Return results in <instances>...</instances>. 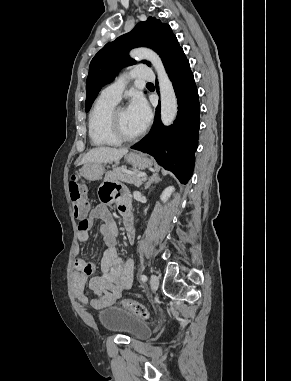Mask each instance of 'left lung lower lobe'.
<instances>
[{"instance_id": "obj_1", "label": "left lung lower lobe", "mask_w": 291, "mask_h": 381, "mask_svg": "<svg viewBox=\"0 0 291 381\" xmlns=\"http://www.w3.org/2000/svg\"><path fill=\"white\" fill-rule=\"evenodd\" d=\"M165 68L177 97L176 120L169 127L161 124L158 106L150 133L131 148L150 154L159 165L173 172L181 183L186 184L193 172L194 153L198 146V92L182 48Z\"/></svg>"}]
</instances>
